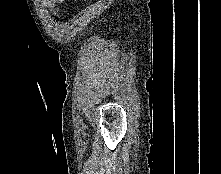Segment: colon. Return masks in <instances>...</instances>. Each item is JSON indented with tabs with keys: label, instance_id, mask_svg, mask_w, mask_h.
<instances>
[{
	"label": "colon",
	"instance_id": "colon-1",
	"mask_svg": "<svg viewBox=\"0 0 221 174\" xmlns=\"http://www.w3.org/2000/svg\"><path fill=\"white\" fill-rule=\"evenodd\" d=\"M64 0H49V3L51 5H56V4H59V3H62Z\"/></svg>",
	"mask_w": 221,
	"mask_h": 174
}]
</instances>
